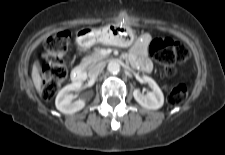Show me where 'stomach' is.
<instances>
[{"label": "stomach", "mask_w": 225, "mask_h": 155, "mask_svg": "<svg viewBox=\"0 0 225 155\" xmlns=\"http://www.w3.org/2000/svg\"><path fill=\"white\" fill-rule=\"evenodd\" d=\"M134 40L135 35L132 29L122 24H108L98 30L83 28L77 32V42L86 48L96 43L129 47Z\"/></svg>", "instance_id": "obj_1"}]
</instances>
